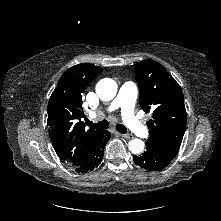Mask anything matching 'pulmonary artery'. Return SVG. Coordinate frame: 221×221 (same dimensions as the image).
I'll return each mask as SVG.
<instances>
[{"instance_id": "pulmonary-artery-1", "label": "pulmonary artery", "mask_w": 221, "mask_h": 221, "mask_svg": "<svg viewBox=\"0 0 221 221\" xmlns=\"http://www.w3.org/2000/svg\"><path fill=\"white\" fill-rule=\"evenodd\" d=\"M136 97V85L132 82H126L121 86L116 98L111 102L109 110L112 111L120 108L122 118L128 128L136 135L145 137L147 135V129L134 114ZM93 117H95V114Z\"/></svg>"}]
</instances>
